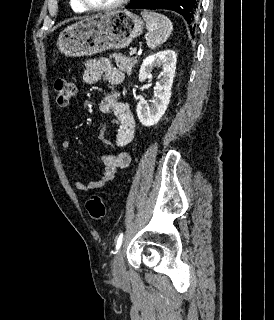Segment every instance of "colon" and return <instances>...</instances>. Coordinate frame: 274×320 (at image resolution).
<instances>
[{
    "instance_id": "colon-1",
    "label": "colon",
    "mask_w": 274,
    "mask_h": 320,
    "mask_svg": "<svg viewBox=\"0 0 274 320\" xmlns=\"http://www.w3.org/2000/svg\"><path fill=\"white\" fill-rule=\"evenodd\" d=\"M54 96L58 106L65 107L69 104L74 94L73 84L65 78L54 81ZM85 208L91 219L100 221L105 217L106 204L98 196H92L85 202Z\"/></svg>"
}]
</instances>
